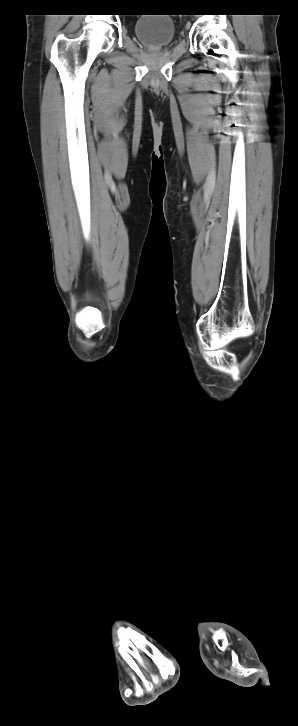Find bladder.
Masks as SVG:
<instances>
[{
	"label": "bladder",
	"instance_id": "1",
	"mask_svg": "<svg viewBox=\"0 0 298 726\" xmlns=\"http://www.w3.org/2000/svg\"><path fill=\"white\" fill-rule=\"evenodd\" d=\"M133 31L139 41L153 49L169 45L176 34L173 20L165 14H142L134 22Z\"/></svg>",
	"mask_w": 298,
	"mask_h": 726
}]
</instances>
